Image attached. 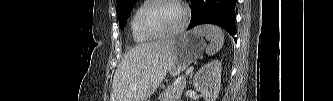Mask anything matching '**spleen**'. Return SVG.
I'll use <instances>...</instances> for the list:
<instances>
[{
	"label": "spleen",
	"mask_w": 333,
	"mask_h": 101,
	"mask_svg": "<svg viewBox=\"0 0 333 101\" xmlns=\"http://www.w3.org/2000/svg\"><path fill=\"white\" fill-rule=\"evenodd\" d=\"M194 31L204 36L210 42L206 47L207 55H214L223 47L224 33L219 27L215 25H204L196 27Z\"/></svg>",
	"instance_id": "obj_1"
}]
</instances>
